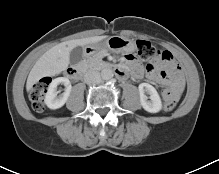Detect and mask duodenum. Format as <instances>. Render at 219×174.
Wrapping results in <instances>:
<instances>
[{"label": "duodenum", "mask_w": 219, "mask_h": 174, "mask_svg": "<svg viewBox=\"0 0 219 174\" xmlns=\"http://www.w3.org/2000/svg\"><path fill=\"white\" fill-rule=\"evenodd\" d=\"M98 52V49L96 48H91L88 49L85 53L86 57L96 54ZM100 68L102 69H113L115 74L119 77V78H126L127 77V73L125 72V70L120 67V66H115L111 63L108 62H104L102 64H100ZM85 73V69L83 67H72L69 68L67 71V74L70 78L72 79H80L83 77Z\"/></svg>", "instance_id": "obj_1"}]
</instances>
